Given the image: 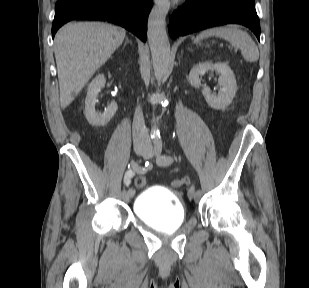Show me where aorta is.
<instances>
[{
	"instance_id": "762f6f07",
	"label": "aorta",
	"mask_w": 309,
	"mask_h": 288,
	"mask_svg": "<svg viewBox=\"0 0 309 288\" xmlns=\"http://www.w3.org/2000/svg\"><path fill=\"white\" fill-rule=\"evenodd\" d=\"M169 9V0H159L148 17L147 38L152 54L154 72L158 81L165 74L170 58V44L165 21ZM152 135L154 137L159 136L156 128L152 129Z\"/></svg>"
}]
</instances>
